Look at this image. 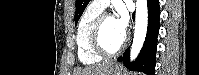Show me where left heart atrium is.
I'll return each mask as SVG.
<instances>
[{"label": "left heart atrium", "instance_id": "1", "mask_svg": "<svg viewBox=\"0 0 199 75\" xmlns=\"http://www.w3.org/2000/svg\"><path fill=\"white\" fill-rule=\"evenodd\" d=\"M114 18L117 29L122 35H125L128 26V17L126 13L119 12Z\"/></svg>", "mask_w": 199, "mask_h": 75}]
</instances>
